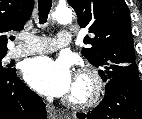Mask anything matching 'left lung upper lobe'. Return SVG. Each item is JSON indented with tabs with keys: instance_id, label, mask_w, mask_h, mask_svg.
<instances>
[{
	"instance_id": "obj_1",
	"label": "left lung upper lobe",
	"mask_w": 142,
	"mask_h": 119,
	"mask_svg": "<svg viewBox=\"0 0 142 119\" xmlns=\"http://www.w3.org/2000/svg\"><path fill=\"white\" fill-rule=\"evenodd\" d=\"M81 28L91 36L84 38L88 47L82 54L99 68L107 82L113 77L138 72L131 33L130 12L124 0H68Z\"/></svg>"
}]
</instances>
